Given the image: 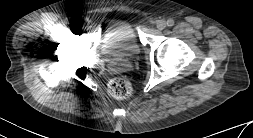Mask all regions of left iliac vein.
I'll return each mask as SVG.
<instances>
[{
	"instance_id": "left-iliac-vein-1",
	"label": "left iliac vein",
	"mask_w": 253,
	"mask_h": 138,
	"mask_svg": "<svg viewBox=\"0 0 253 138\" xmlns=\"http://www.w3.org/2000/svg\"><path fill=\"white\" fill-rule=\"evenodd\" d=\"M165 27H166V22H165V21L160 20V21L157 23V28H158V30H163Z\"/></svg>"
}]
</instances>
